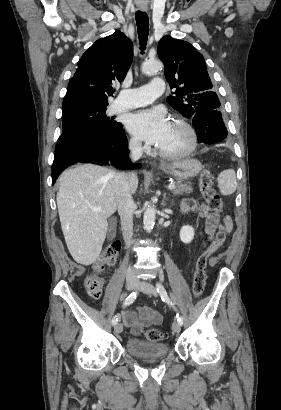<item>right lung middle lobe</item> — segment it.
<instances>
[{"instance_id": "1", "label": "right lung middle lobe", "mask_w": 281, "mask_h": 410, "mask_svg": "<svg viewBox=\"0 0 281 410\" xmlns=\"http://www.w3.org/2000/svg\"><path fill=\"white\" fill-rule=\"evenodd\" d=\"M107 105L75 103L62 106L63 132L57 143L84 134H107L118 131L122 124L106 116Z\"/></svg>"}]
</instances>
